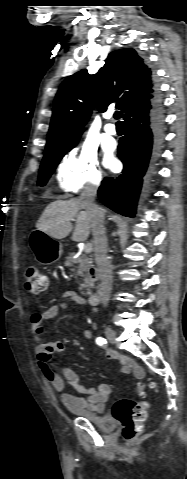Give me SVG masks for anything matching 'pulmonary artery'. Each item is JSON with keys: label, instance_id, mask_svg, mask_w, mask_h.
<instances>
[{"label": "pulmonary artery", "instance_id": "obj_1", "mask_svg": "<svg viewBox=\"0 0 187 479\" xmlns=\"http://www.w3.org/2000/svg\"><path fill=\"white\" fill-rule=\"evenodd\" d=\"M108 119H111V116H109ZM104 130L109 135H115L117 133V129L113 123H107Z\"/></svg>", "mask_w": 187, "mask_h": 479}]
</instances>
